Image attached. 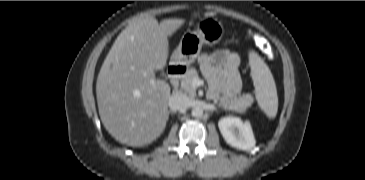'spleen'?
Here are the masks:
<instances>
[{"instance_id": "3e777b00", "label": "spleen", "mask_w": 365, "mask_h": 180, "mask_svg": "<svg viewBox=\"0 0 365 180\" xmlns=\"http://www.w3.org/2000/svg\"><path fill=\"white\" fill-rule=\"evenodd\" d=\"M249 65L258 105L268 117L275 118L278 111V96L272 73L255 51L249 52Z\"/></svg>"}]
</instances>
